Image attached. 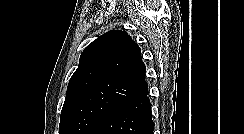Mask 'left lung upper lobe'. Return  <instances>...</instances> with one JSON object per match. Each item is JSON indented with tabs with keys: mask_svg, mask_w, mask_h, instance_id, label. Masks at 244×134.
Listing matches in <instances>:
<instances>
[{
	"mask_svg": "<svg viewBox=\"0 0 244 134\" xmlns=\"http://www.w3.org/2000/svg\"><path fill=\"white\" fill-rule=\"evenodd\" d=\"M147 88L141 49L127 32L101 35L83 50L69 81L59 134H96L118 107Z\"/></svg>",
	"mask_w": 244,
	"mask_h": 134,
	"instance_id": "obj_1",
	"label": "left lung upper lobe"
}]
</instances>
